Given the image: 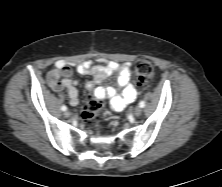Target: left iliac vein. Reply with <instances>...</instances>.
<instances>
[{
    "instance_id": "obj_1",
    "label": "left iliac vein",
    "mask_w": 222,
    "mask_h": 187,
    "mask_svg": "<svg viewBox=\"0 0 222 187\" xmlns=\"http://www.w3.org/2000/svg\"><path fill=\"white\" fill-rule=\"evenodd\" d=\"M141 114H142V109H141V107H137V108L135 109V111H134V116H135V117H140Z\"/></svg>"
}]
</instances>
